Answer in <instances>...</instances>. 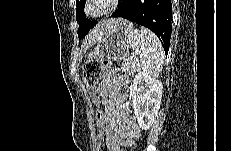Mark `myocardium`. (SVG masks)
<instances>
[{
    "mask_svg": "<svg viewBox=\"0 0 231 151\" xmlns=\"http://www.w3.org/2000/svg\"><path fill=\"white\" fill-rule=\"evenodd\" d=\"M118 2V0H87L84 14L88 18L103 17L113 12Z\"/></svg>",
    "mask_w": 231,
    "mask_h": 151,
    "instance_id": "myocardium-1",
    "label": "myocardium"
}]
</instances>
